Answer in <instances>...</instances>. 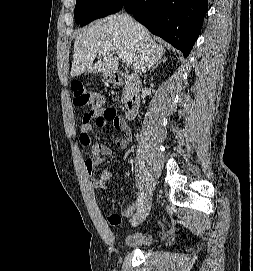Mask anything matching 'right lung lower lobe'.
Listing matches in <instances>:
<instances>
[{
    "instance_id": "1",
    "label": "right lung lower lobe",
    "mask_w": 253,
    "mask_h": 271,
    "mask_svg": "<svg viewBox=\"0 0 253 271\" xmlns=\"http://www.w3.org/2000/svg\"><path fill=\"white\" fill-rule=\"evenodd\" d=\"M123 8L187 57L200 34L207 0H127Z\"/></svg>"
}]
</instances>
